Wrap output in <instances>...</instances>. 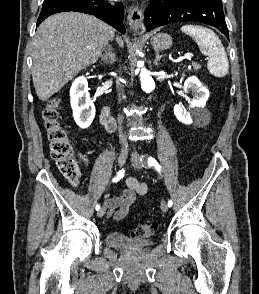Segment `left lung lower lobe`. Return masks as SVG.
I'll return each mask as SVG.
<instances>
[{
	"instance_id": "1",
	"label": "left lung lower lobe",
	"mask_w": 259,
	"mask_h": 294,
	"mask_svg": "<svg viewBox=\"0 0 259 294\" xmlns=\"http://www.w3.org/2000/svg\"><path fill=\"white\" fill-rule=\"evenodd\" d=\"M181 21L214 26L229 39L221 0H151L144 14L146 31Z\"/></svg>"
}]
</instances>
